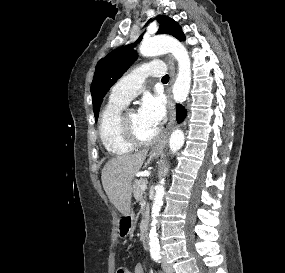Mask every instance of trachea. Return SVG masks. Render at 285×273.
<instances>
[{
	"label": "trachea",
	"instance_id": "3493384b",
	"mask_svg": "<svg viewBox=\"0 0 285 273\" xmlns=\"http://www.w3.org/2000/svg\"><path fill=\"white\" fill-rule=\"evenodd\" d=\"M162 80H169V76L168 75L163 76Z\"/></svg>",
	"mask_w": 285,
	"mask_h": 273
}]
</instances>
